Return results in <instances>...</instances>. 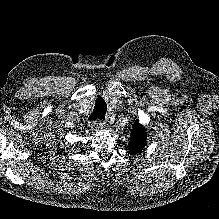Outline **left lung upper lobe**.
<instances>
[{"instance_id":"1","label":"left lung upper lobe","mask_w":219,"mask_h":219,"mask_svg":"<svg viewBox=\"0 0 219 219\" xmlns=\"http://www.w3.org/2000/svg\"><path fill=\"white\" fill-rule=\"evenodd\" d=\"M146 145V132L145 128L142 125L136 123L134 125L130 142H129V151L133 154H137L143 150Z\"/></svg>"}]
</instances>
